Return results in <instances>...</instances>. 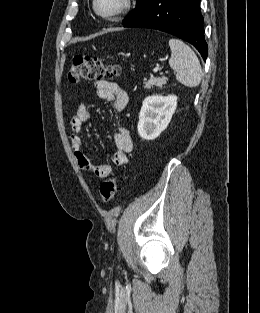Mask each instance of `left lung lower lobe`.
Segmentation results:
<instances>
[{
  "label": "left lung lower lobe",
  "instance_id": "left-lung-lower-lobe-1",
  "mask_svg": "<svg viewBox=\"0 0 260 313\" xmlns=\"http://www.w3.org/2000/svg\"><path fill=\"white\" fill-rule=\"evenodd\" d=\"M200 0H151L124 27L153 28L173 34L191 43L205 60V42Z\"/></svg>",
  "mask_w": 260,
  "mask_h": 313
}]
</instances>
